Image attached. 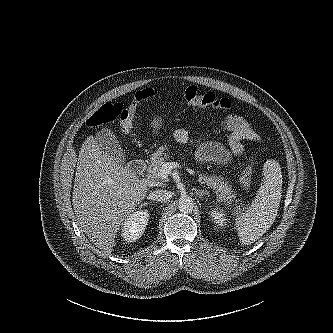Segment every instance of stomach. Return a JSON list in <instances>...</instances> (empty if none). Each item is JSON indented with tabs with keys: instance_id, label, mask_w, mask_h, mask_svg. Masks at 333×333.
I'll return each mask as SVG.
<instances>
[{
	"instance_id": "1",
	"label": "stomach",
	"mask_w": 333,
	"mask_h": 333,
	"mask_svg": "<svg viewBox=\"0 0 333 333\" xmlns=\"http://www.w3.org/2000/svg\"><path fill=\"white\" fill-rule=\"evenodd\" d=\"M161 123H162V118L161 117H157V118H154L151 122V125L153 127V129L155 130H158L161 126Z\"/></svg>"
}]
</instances>
